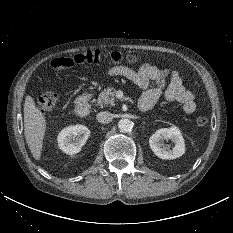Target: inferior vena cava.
<instances>
[{"mask_svg":"<svg viewBox=\"0 0 233 233\" xmlns=\"http://www.w3.org/2000/svg\"><path fill=\"white\" fill-rule=\"evenodd\" d=\"M96 119L99 123L107 124L112 121L113 115L108 111H102L96 115Z\"/></svg>","mask_w":233,"mask_h":233,"instance_id":"inferior-vena-cava-1","label":"inferior vena cava"}]
</instances>
